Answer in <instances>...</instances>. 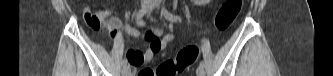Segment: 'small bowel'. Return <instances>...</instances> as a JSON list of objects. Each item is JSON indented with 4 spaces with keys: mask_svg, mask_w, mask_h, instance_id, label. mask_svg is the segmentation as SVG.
<instances>
[{
    "mask_svg": "<svg viewBox=\"0 0 333 76\" xmlns=\"http://www.w3.org/2000/svg\"><path fill=\"white\" fill-rule=\"evenodd\" d=\"M83 17L86 23L95 31L100 29L102 22L109 30L110 37L113 41L118 40V35L121 30H124L132 37H138L140 35V32L136 28L130 26L127 22H122L118 17L112 16L110 9H103L92 13L88 7H85L83 9ZM136 23L140 27L145 25L143 21L137 20V18ZM162 33L163 29L161 27H154L146 32L145 38L149 41V45L145 52H139L137 48L127 50L126 55L135 68L141 67L150 61L154 55L166 49L168 43L175 39L173 34H167L162 39H159Z\"/></svg>",
    "mask_w": 333,
    "mask_h": 76,
    "instance_id": "1",
    "label": "small bowel"
}]
</instances>
